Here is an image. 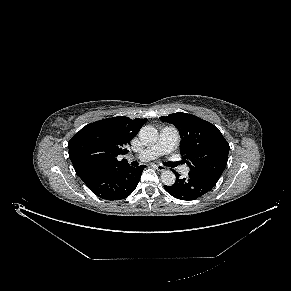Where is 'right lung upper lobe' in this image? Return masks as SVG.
Masks as SVG:
<instances>
[{
    "label": "right lung upper lobe",
    "instance_id": "1",
    "mask_svg": "<svg viewBox=\"0 0 291 291\" xmlns=\"http://www.w3.org/2000/svg\"><path fill=\"white\" fill-rule=\"evenodd\" d=\"M147 119H130L118 116L96 121L84 126L68 142L69 157L79 177L99 168L124 166L126 160L117 156L137 135Z\"/></svg>",
    "mask_w": 291,
    "mask_h": 291
}]
</instances>
